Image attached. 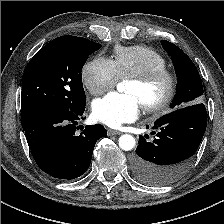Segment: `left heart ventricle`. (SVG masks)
<instances>
[{
	"label": "left heart ventricle",
	"mask_w": 224,
	"mask_h": 224,
	"mask_svg": "<svg viewBox=\"0 0 224 224\" xmlns=\"http://www.w3.org/2000/svg\"><path fill=\"white\" fill-rule=\"evenodd\" d=\"M166 88V83L163 79L154 82L149 86H143L135 81H129L126 85L125 91L136 95L142 104L159 99Z\"/></svg>",
	"instance_id": "obj_1"
}]
</instances>
